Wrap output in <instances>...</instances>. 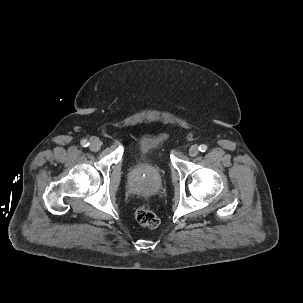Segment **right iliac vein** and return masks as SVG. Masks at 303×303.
Here are the masks:
<instances>
[{
  "mask_svg": "<svg viewBox=\"0 0 303 303\" xmlns=\"http://www.w3.org/2000/svg\"><path fill=\"white\" fill-rule=\"evenodd\" d=\"M90 149L92 151H98L101 147V142L98 138L94 137V138H91L90 140Z\"/></svg>",
  "mask_w": 303,
  "mask_h": 303,
  "instance_id": "63e3f726",
  "label": "right iliac vein"
}]
</instances>
